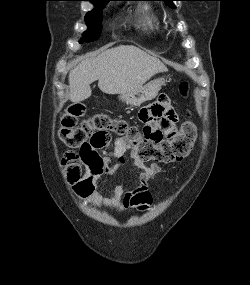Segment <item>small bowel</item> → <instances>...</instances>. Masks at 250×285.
Returning a JSON list of instances; mask_svg holds the SVG:
<instances>
[{
	"instance_id": "1",
	"label": "small bowel",
	"mask_w": 250,
	"mask_h": 285,
	"mask_svg": "<svg viewBox=\"0 0 250 285\" xmlns=\"http://www.w3.org/2000/svg\"><path fill=\"white\" fill-rule=\"evenodd\" d=\"M139 119L144 123L142 125V141L164 144V141H169V137L175 136L178 131L175 128L176 113L166 99L142 108L139 112ZM101 148L103 147L90 146L86 149H80V157L87 168V172L75 183V192L94 205L108 207L116 212L129 208H136L140 211L146 210L153 201L149 181L161 172V165L159 163L150 166L145 165L132 150L131 157L135 165L142 170L139 175L138 187L132 191H127L123 185H117L111 197H103L96 191L98 177L106 172L120 170L125 162L126 151L132 146L123 138L114 140V156L119 160L117 165H111L108 159L97 154V150Z\"/></svg>"
}]
</instances>
